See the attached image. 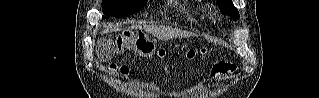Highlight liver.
Here are the masks:
<instances>
[{"instance_id":"1","label":"liver","mask_w":319,"mask_h":98,"mask_svg":"<svg viewBox=\"0 0 319 98\" xmlns=\"http://www.w3.org/2000/svg\"><path fill=\"white\" fill-rule=\"evenodd\" d=\"M129 28L130 29H143V30L153 34L154 36H156L160 40H169V39L178 38V37L179 38L190 37L192 35L189 32H185L182 30H176V29L169 28L166 26H150V25L148 26V25H144V24L143 25L138 24V25H132ZM118 30H119L118 27L110 26V27H107L106 29H104L101 34L103 35V34H107L110 32H116ZM98 56H99L100 60L105 61L100 57V55H98ZM106 61H108V60H106Z\"/></svg>"}]
</instances>
